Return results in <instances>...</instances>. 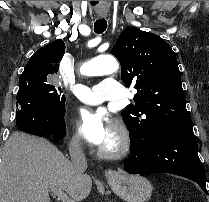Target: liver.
Listing matches in <instances>:
<instances>
[{
	"label": "liver",
	"mask_w": 209,
	"mask_h": 202,
	"mask_svg": "<svg viewBox=\"0 0 209 202\" xmlns=\"http://www.w3.org/2000/svg\"><path fill=\"white\" fill-rule=\"evenodd\" d=\"M91 188V177L78 174L48 140L21 132L7 140L0 162V202H50L53 189L81 201Z\"/></svg>",
	"instance_id": "obj_1"
}]
</instances>
